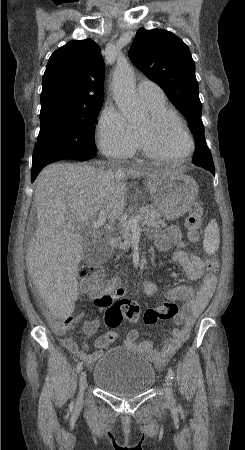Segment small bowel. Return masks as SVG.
Masks as SVG:
<instances>
[{
    "instance_id": "small-bowel-1",
    "label": "small bowel",
    "mask_w": 245,
    "mask_h": 450,
    "mask_svg": "<svg viewBox=\"0 0 245 450\" xmlns=\"http://www.w3.org/2000/svg\"><path fill=\"white\" fill-rule=\"evenodd\" d=\"M152 238L155 241L158 251H167L171 247H175L172 260L180 264L186 271L187 275L193 279H200L199 287L194 290L190 284L178 285L165 293V298L171 301L182 302L180 315L174 319V323L180 328L173 329L165 339L162 348L155 349L151 341L140 340L139 332L133 330L129 332L123 344L129 348H138L143 354L157 366L162 369L166 362L172 357L187 340L189 333L195 323V320L202 314L206 308L216 285L217 276L214 273L205 271V262L201 256L189 251L181 239L179 230L176 227H169L161 232H154ZM104 274L102 275V283L100 286L93 288H85L83 292L89 298L95 301H103L106 298L118 300L127 294V289L120 286L117 279L104 282ZM142 291L145 294H153L157 291L158 286L150 281H144ZM84 317V313L79 314L75 321H80ZM100 319L94 318L85 321L82 324L81 331L86 336L94 335L100 328ZM110 341L107 335L98 336L94 340V346L97 351L93 354L87 353L88 346L82 343L79 346L75 339L71 336L64 337L62 344L74 355L83 359L88 365H91L105 351Z\"/></svg>"
}]
</instances>
